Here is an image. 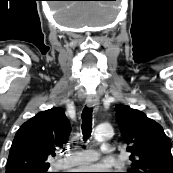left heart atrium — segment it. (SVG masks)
Masks as SVG:
<instances>
[{"mask_svg":"<svg viewBox=\"0 0 173 173\" xmlns=\"http://www.w3.org/2000/svg\"><path fill=\"white\" fill-rule=\"evenodd\" d=\"M83 173H108L110 171L109 167L104 164H95L88 167L81 168Z\"/></svg>","mask_w":173,"mask_h":173,"instance_id":"obj_1","label":"left heart atrium"}]
</instances>
